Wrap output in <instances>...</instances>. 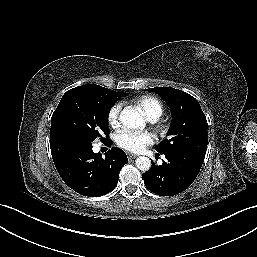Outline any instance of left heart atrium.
Here are the masks:
<instances>
[{"instance_id":"obj_1","label":"left heart atrium","mask_w":257,"mask_h":257,"mask_svg":"<svg viewBox=\"0 0 257 257\" xmlns=\"http://www.w3.org/2000/svg\"><path fill=\"white\" fill-rule=\"evenodd\" d=\"M155 136L150 132L123 130L117 137L118 146L131 152H140L153 144Z\"/></svg>"}]
</instances>
